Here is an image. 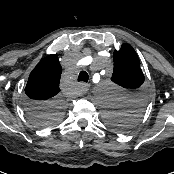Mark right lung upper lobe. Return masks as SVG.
Returning a JSON list of instances; mask_svg holds the SVG:
<instances>
[{
	"mask_svg": "<svg viewBox=\"0 0 174 174\" xmlns=\"http://www.w3.org/2000/svg\"><path fill=\"white\" fill-rule=\"evenodd\" d=\"M62 69L56 54L43 58L30 73L25 93L33 104H43L59 98Z\"/></svg>",
	"mask_w": 174,
	"mask_h": 174,
	"instance_id": "right-lung-upper-lobe-1",
	"label": "right lung upper lobe"
}]
</instances>
